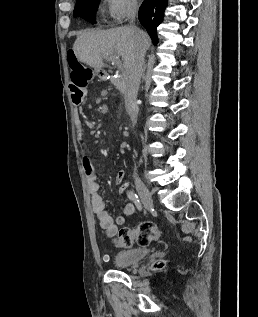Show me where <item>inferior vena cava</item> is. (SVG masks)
Here are the masks:
<instances>
[{
  "instance_id": "inferior-vena-cava-1",
  "label": "inferior vena cava",
  "mask_w": 258,
  "mask_h": 317,
  "mask_svg": "<svg viewBox=\"0 0 258 317\" xmlns=\"http://www.w3.org/2000/svg\"><path fill=\"white\" fill-rule=\"evenodd\" d=\"M137 10L136 0H131L128 6V16L130 18V22H132V24H130V28L134 42V54L126 70L124 98L126 110L133 122V126L136 124V98L143 70L145 54V46L142 42L141 32L139 28L133 24ZM134 175L136 178L138 177L136 173Z\"/></svg>"
}]
</instances>
